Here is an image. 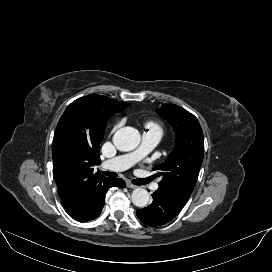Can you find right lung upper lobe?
<instances>
[{
	"mask_svg": "<svg viewBox=\"0 0 272 272\" xmlns=\"http://www.w3.org/2000/svg\"><path fill=\"white\" fill-rule=\"evenodd\" d=\"M129 105L91 94L72 102L58 122L53 172L66 210L78 221L94 210L109 180L93 171V166L100 164L105 122L110 114Z\"/></svg>",
	"mask_w": 272,
	"mask_h": 272,
	"instance_id": "cb5924a9",
	"label": "right lung upper lobe"
}]
</instances>
